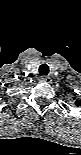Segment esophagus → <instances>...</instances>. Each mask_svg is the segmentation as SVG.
I'll return each instance as SVG.
<instances>
[{"mask_svg": "<svg viewBox=\"0 0 81 155\" xmlns=\"http://www.w3.org/2000/svg\"><path fill=\"white\" fill-rule=\"evenodd\" d=\"M40 81L44 83H51V78L49 76H41Z\"/></svg>", "mask_w": 81, "mask_h": 155, "instance_id": "34e87169", "label": "esophagus"}]
</instances>
